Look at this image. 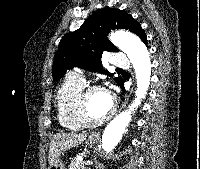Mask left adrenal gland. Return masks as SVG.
Returning <instances> with one entry per match:
<instances>
[{
    "mask_svg": "<svg viewBox=\"0 0 200 169\" xmlns=\"http://www.w3.org/2000/svg\"><path fill=\"white\" fill-rule=\"evenodd\" d=\"M103 169L104 168V165H101V164H98V167H97V169Z\"/></svg>",
    "mask_w": 200,
    "mask_h": 169,
    "instance_id": "obj_1",
    "label": "left adrenal gland"
}]
</instances>
